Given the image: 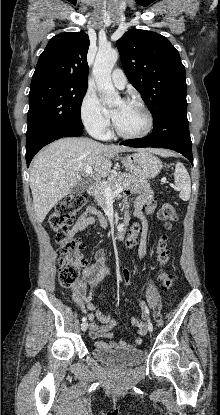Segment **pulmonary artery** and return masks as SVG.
Instances as JSON below:
<instances>
[{"mask_svg":"<svg viewBox=\"0 0 220 415\" xmlns=\"http://www.w3.org/2000/svg\"><path fill=\"white\" fill-rule=\"evenodd\" d=\"M111 78H112L113 84L118 89H123L125 87L126 83H127V79L125 77V74L120 69H115L112 72ZM104 139H107V137H105Z\"/></svg>","mask_w":220,"mask_h":415,"instance_id":"e3ab8cb5","label":"pulmonary artery"}]
</instances>
